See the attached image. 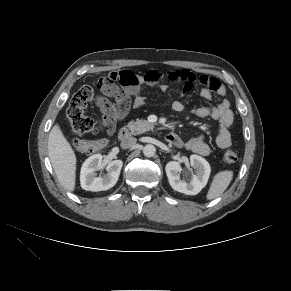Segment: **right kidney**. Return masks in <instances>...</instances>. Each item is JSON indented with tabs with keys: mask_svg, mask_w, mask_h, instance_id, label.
<instances>
[{
	"mask_svg": "<svg viewBox=\"0 0 291 291\" xmlns=\"http://www.w3.org/2000/svg\"><path fill=\"white\" fill-rule=\"evenodd\" d=\"M102 155L94 154L83 163L80 173L81 187L87 191H104L112 188L118 181L123 165L121 160H114L106 167L108 173L97 176L96 171L101 168Z\"/></svg>",
	"mask_w": 291,
	"mask_h": 291,
	"instance_id": "right-kidney-1",
	"label": "right kidney"
}]
</instances>
